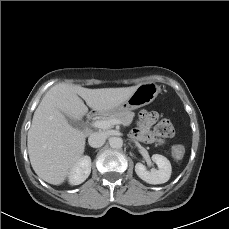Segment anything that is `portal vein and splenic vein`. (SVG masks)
<instances>
[{
	"label": "portal vein and splenic vein",
	"mask_w": 229,
	"mask_h": 229,
	"mask_svg": "<svg viewBox=\"0 0 229 229\" xmlns=\"http://www.w3.org/2000/svg\"><path fill=\"white\" fill-rule=\"evenodd\" d=\"M116 124H121V122L119 120H116V119H112V120H100V121H95L93 123V126L95 128H100V129H109L111 128L113 125H116Z\"/></svg>",
	"instance_id": "1"
}]
</instances>
